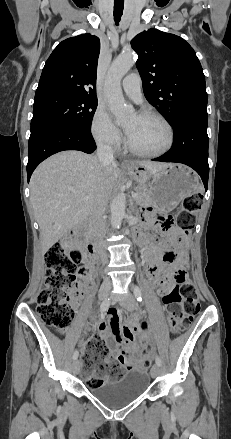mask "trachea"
Wrapping results in <instances>:
<instances>
[{"instance_id": "1", "label": "trachea", "mask_w": 231, "mask_h": 439, "mask_svg": "<svg viewBox=\"0 0 231 439\" xmlns=\"http://www.w3.org/2000/svg\"><path fill=\"white\" fill-rule=\"evenodd\" d=\"M124 3H116L114 2V21L118 25L120 22L121 16L123 14Z\"/></svg>"}]
</instances>
